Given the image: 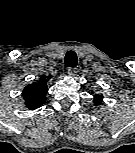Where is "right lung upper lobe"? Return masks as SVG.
<instances>
[{
	"instance_id": "1",
	"label": "right lung upper lobe",
	"mask_w": 135,
	"mask_h": 153,
	"mask_svg": "<svg viewBox=\"0 0 135 153\" xmlns=\"http://www.w3.org/2000/svg\"><path fill=\"white\" fill-rule=\"evenodd\" d=\"M45 78V76H42L40 81L33 82L24 88L22 95L27 108L31 110L37 109L46 101L48 88L47 81L44 80ZM49 78H51V76H49Z\"/></svg>"
}]
</instances>
